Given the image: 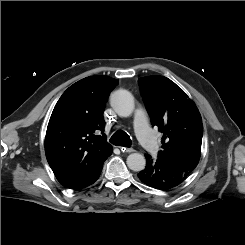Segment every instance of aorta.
<instances>
[{
    "mask_svg": "<svg viewBox=\"0 0 245 245\" xmlns=\"http://www.w3.org/2000/svg\"><path fill=\"white\" fill-rule=\"evenodd\" d=\"M111 106L121 117H128L134 110V98L127 90H117L111 96ZM127 166L133 171H141L145 168V157L140 153H132L127 157Z\"/></svg>",
    "mask_w": 245,
    "mask_h": 245,
    "instance_id": "aorta-1",
    "label": "aorta"
}]
</instances>
